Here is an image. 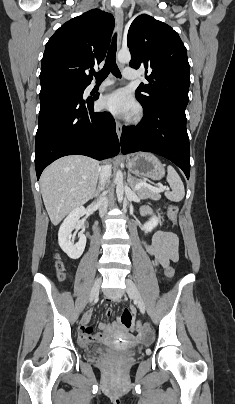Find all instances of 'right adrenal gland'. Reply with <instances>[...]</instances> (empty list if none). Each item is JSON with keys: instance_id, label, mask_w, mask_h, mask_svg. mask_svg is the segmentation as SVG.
Masks as SVG:
<instances>
[{"instance_id": "right-adrenal-gland-1", "label": "right adrenal gland", "mask_w": 235, "mask_h": 404, "mask_svg": "<svg viewBox=\"0 0 235 404\" xmlns=\"http://www.w3.org/2000/svg\"><path fill=\"white\" fill-rule=\"evenodd\" d=\"M98 194H99V188L95 191V193H94V195H93V197H97L98 196Z\"/></svg>"}]
</instances>
